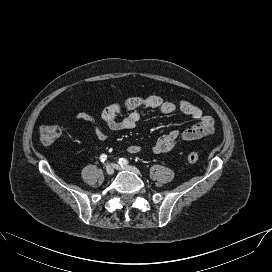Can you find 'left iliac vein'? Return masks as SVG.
Listing matches in <instances>:
<instances>
[{
    "instance_id": "obj_1",
    "label": "left iliac vein",
    "mask_w": 272,
    "mask_h": 272,
    "mask_svg": "<svg viewBox=\"0 0 272 272\" xmlns=\"http://www.w3.org/2000/svg\"><path fill=\"white\" fill-rule=\"evenodd\" d=\"M111 165L116 170L130 171V172H132V173H134L136 175H141L140 171L136 167H134V166H128V165L121 166L119 164H114V163H112Z\"/></svg>"
}]
</instances>
